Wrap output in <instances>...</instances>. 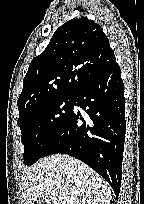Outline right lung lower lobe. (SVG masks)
Masks as SVG:
<instances>
[{"label":"right lung lower lobe","instance_id":"obj_1","mask_svg":"<svg viewBox=\"0 0 144 204\" xmlns=\"http://www.w3.org/2000/svg\"><path fill=\"white\" fill-rule=\"evenodd\" d=\"M74 105L85 113L72 111L43 157L65 153L80 159L105 178L118 197L126 122L124 84L116 61L75 95Z\"/></svg>","mask_w":144,"mask_h":204}]
</instances>
